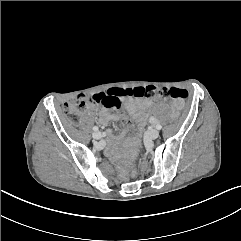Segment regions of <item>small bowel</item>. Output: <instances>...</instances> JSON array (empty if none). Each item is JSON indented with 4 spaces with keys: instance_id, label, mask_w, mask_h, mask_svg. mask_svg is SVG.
<instances>
[{
    "instance_id": "obj_1",
    "label": "small bowel",
    "mask_w": 241,
    "mask_h": 241,
    "mask_svg": "<svg viewBox=\"0 0 241 241\" xmlns=\"http://www.w3.org/2000/svg\"><path fill=\"white\" fill-rule=\"evenodd\" d=\"M122 104H124V106L129 111V113L135 118H143L148 107L150 106V102L147 100H134L130 97H128L124 102H123V100H121L117 108L102 105L103 107L100 110H98V112H97L100 123L105 124L111 119H113V120L123 119L124 118L123 115L110 114L107 111L108 108L119 109L122 106ZM88 111L91 113V112L95 111V108L93 106H89ZM117 144H118L117 140L110 141L111 146H115Z\"/></svg>"
}]
</instances>
